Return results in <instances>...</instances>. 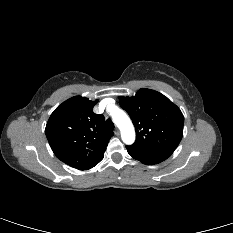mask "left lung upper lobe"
I'll use <instances>...</instances> for the list:
<instances>
[{"label": "left lung upper lobe", "instance_id": "left-lung-upper-lobe-1", "mask_svg": "<svg viewBox=\"0 0 233 233\" xmlns=\"http://www.w3.org/2000/svg\"><path fill=\"white\" fill-rule=\"evenodd\" d=\"M136 130L132 147L172 153L183 136L184 117L180 109L163 94L140 89L133 97H119Z\"/></svg>", "mask_w": 233, "mask_h": 233}]
</instances>
